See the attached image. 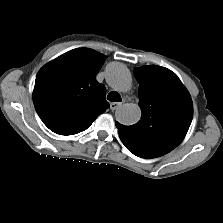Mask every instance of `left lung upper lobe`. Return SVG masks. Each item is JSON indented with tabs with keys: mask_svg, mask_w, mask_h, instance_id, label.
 Segmentation results:
<instances>
[{
	"mask_svg": "<svg viewBox=\"0 0 223 223\" xmlns=\"http://www.w3.org/2000/svg\"><path fill=\"white\" fill-rule=\"evenodd\" d=\"M139 83L141 120L132 126L116 122L127 149L142 158H155L176 148L184 139L192 118L188 91L169 69L143 66L134 69Z\"/></svg>",
	"mask_w": 223,
	"mask_h": 223,
	"instance_id": "1",
	"label": "left lung upper lobe"
}]
</instances>
